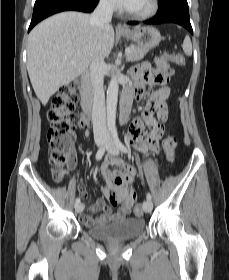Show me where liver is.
<instances>
[{
    "label": "liver",
    "mask_w": 229,
    "mask_h": 280,
    "mask_svg": "<svg viewBox=\"0 0 229 280\" xmlns=\"http://www.w3.org/2000/svg\"><path fill=\"white\" fill-rule=\"evenodd\" d=\"M114 38L111 25L99 29L91 24L90 15L80 12L59 13L34 27L28 37L27 70L41 103L46 105L62 86L84 73L97 56L107 57Z\"/></svg>",
    "instance_id": "6515ba94"
}]
</instances>
